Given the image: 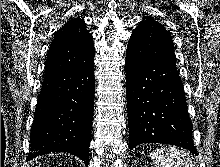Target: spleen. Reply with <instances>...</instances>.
Segmentation results:
<instances>
[{
	"label": "spleen",
	"instance_id": "1",
	"mask_svg": "<svg viewBox=\"0 0 220 167\" xmlns=\"http://www.w3.org/2000/svg\"><path fill=\"white\" fill-rule=\"evenodd\" d=\"M150 157L154 160L155 167H193L189 154L172 146L154 150Z\"/></svg>",
	"mask_w": 220,
	"mask_h": 167
}]
</instances>
